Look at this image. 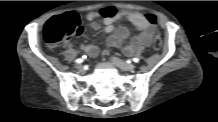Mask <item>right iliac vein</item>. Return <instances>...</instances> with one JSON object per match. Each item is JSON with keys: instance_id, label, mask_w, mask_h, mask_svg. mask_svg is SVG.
I'll return each mask as SVG.
<instances>
[{"instance_id": "1", "label": "right iliac vein", "mask_w": 218, "mask_h": 122, "mask_svg": "<svg viewBox=\"0 0 218 122\" xmlns=\"http://www.w3.org/2000/svg\"><path fill=\"white\" fill-rule=\"evenodd\" d=\"M75 68L78 69V70H82L83 66L81 64H76Z\"/></svg>"}]
</instances>
